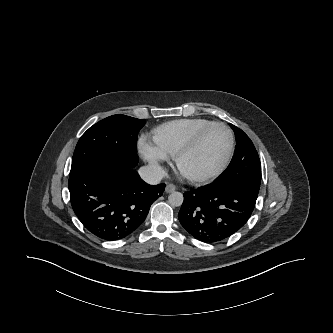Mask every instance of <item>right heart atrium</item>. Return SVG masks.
I'll use <instances>...</instances> for the list:
<instances>
[{
	"label": "right heart atrium",
	"instance_id": "d8ad5b80",
	"mask_svg": "<svg viewBox=\"0 0 333 333\" xmlns=\"http://www.w3.org/2000/svg\"><path fill=\"white\" fill-rule=\"evenodd\" d=\"M139 152L146 162L156 171H162V163L168 159V155L162 152L155 144L145 137L141 138L138 144Z\"/></svg>",
	"mask_w": 333,
	"mask_h": 333
}]
</instances>
